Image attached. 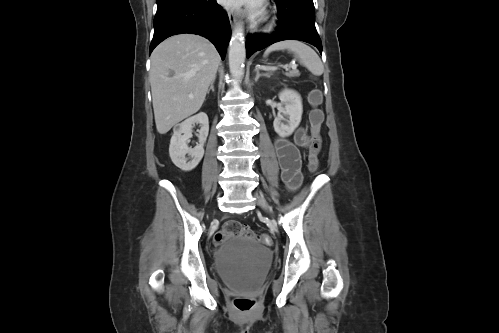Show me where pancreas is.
Returning a JSON list of instances; mask_svg holds the SVG:
<instances>
[{"label":"pancreas","instance_id":"obj_1","mask_svg":"<svg viewBox=\"0 0 499 333\" xmlns=\"http://www.w3.org/2000/svg\"><path fill=\"white\" fill-rule=\"evenodd\" d=\"M285 75L287 77H299L300 76V72L297 69H293V70L285 73Z\"/></svg>","mask_w":499,"mask_h":333}]
</instances>
